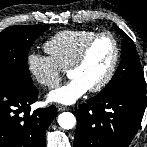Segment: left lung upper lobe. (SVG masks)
<instances>
[{
	"label": "left lung upper lobe",
	"instance_id": "left-lung-upper-lobe-1",
	"mask_svg": "<svg viewBox=\"0 0 147 147\" xmlns=\"http://www.w3.org/2000/svg\"><path fill=\"white\" fill-rule=\"evenodd\" d=\"M115 29L123 37L121 62L111 81L98 95L107 96L121 91L146 93L144 73L133 41L116 25Z\"/></svg>",
	"mask_w": 147,
	"mask_h": 147
}]
</instances>
